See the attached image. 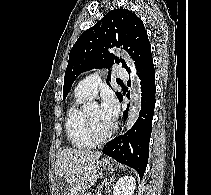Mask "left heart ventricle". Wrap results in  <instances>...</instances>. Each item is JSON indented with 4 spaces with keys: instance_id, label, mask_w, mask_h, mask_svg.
Wrapping results in <instances>:
<instances>
[{
    "instance_id": "obj_1",
    "label": "left heart ventricle",
    "mask_w": 211,
    "mask_h": 195,
    "mask_svg": "<svg viewBox=\"0 0 211 195\" xmlns=\"http://www.w3.org/2000/svg\"><path fill=\"white\" fill-rule=\"evenodd\" d=\"M87 113L91 119L96 134L103 135L111 128L112 125L102 118L98 107L91 108Z\"/></svg>"
}]
</instances>
